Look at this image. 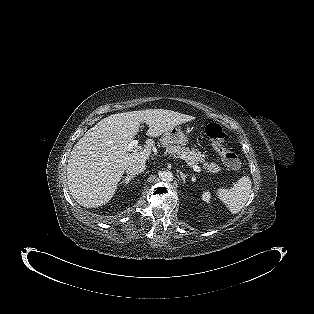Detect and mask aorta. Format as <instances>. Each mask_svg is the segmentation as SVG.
<instances>
[{"label":"aorta","mask_w":314,"mask_h":314,"mask_svg":"<svg viewBox=\"0 0 314 314\" xmlns=\"http://www.w3.org/2000/svg\"><path fill=\"white\" fill-rule=\"evenodd\" d=\"M159 177L164 182L173 181V173L171 171H162L160 172Z\"/></svg>","instance_id":"obj_1"}]
</instances>
